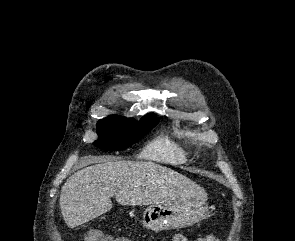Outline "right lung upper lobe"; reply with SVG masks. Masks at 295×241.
Segmentation results:
<instances>
[{
    "mask_svg": "<svg viewBox=\"0 0 295 241\" xmlns=\"http://www.w3.org/2000/svg\"><path fill=\"white\" fill-rule=\"evenodd\" d=\"M148 115L155 117V115H154V114H148Z\"/></svg>",
    "mask_w": 295,
    "mask_h": 241,
    "instance_id": "cb5924a9",
    "label": "right lung upper lobe"
}]
</instances>
